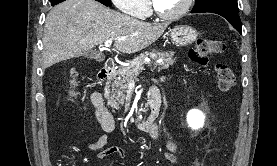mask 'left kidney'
Here are the masks:
<instances>
[{
	"instance_id": "5707ae66",
	"label": "left kidney",
	"mask_w": 277,
	"mask_h": 166,
	"mask_svg": "<svg viewBox=\"0 0 277 166\" xmlns=\"http://www.w3.org/2000/svg\"><path fill=\"white\" fill-rule=\"evenodd\" d=\"M205 115L200 110H191L187 114V123L193 130H198L204 126Z\"/></svg>"
}]
</instances>
